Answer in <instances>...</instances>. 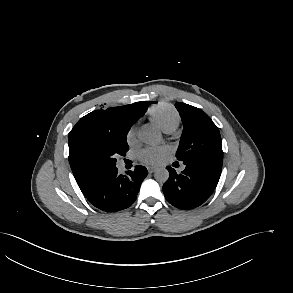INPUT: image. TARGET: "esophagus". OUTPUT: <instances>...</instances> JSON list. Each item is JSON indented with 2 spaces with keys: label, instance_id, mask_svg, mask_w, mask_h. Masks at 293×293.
Masks as SVG:
<instances>
[{
  "label": "esophagus",
  "instance_id": "1",
  "mask_svg": "<svg viewBox=\"0 0 293 293\" xmlns=\"http://www.w3.org/2000/svg\"><path fill=\"white\" fill-rule=\"evenodd\" d=\"M147 170H148L149 173H153V172H155L157 170V167H155V166H148L147 167Z\"/></svg>",
  "mask_w": 293,
  "mask_h": 293
}]
</instances>
